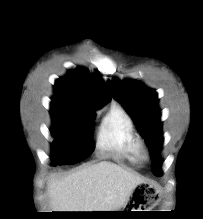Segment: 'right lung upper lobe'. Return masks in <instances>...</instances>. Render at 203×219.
Returning a JSON list of instances; mask_svg holds the SVG:
<instances>
[{"mask_svg": "<svg viewBox=\"0 0 203 219\" xmlns=\"http://www.w3.org/2000/svg\"><path fill=\"white\" fill-rule=\"evenodd\" d=\"M54 89V98L78 102L94 111L111 99L100 74L92 75L83 68L70 70L67 76L56 80Z\"/></svg>", "mask_w": 203, "mask_h": 219, "instance_id": "cb5924a9", "label": "right lung upper lobe"}]
</instances>
